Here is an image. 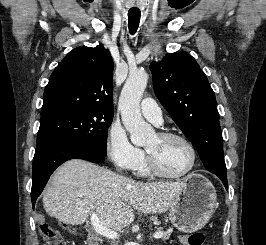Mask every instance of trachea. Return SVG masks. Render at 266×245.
I'll use <instances>...</instances> for the list:
<instances>
[{"instance_id":"obj_1","label":"trachea","mask_w":266,"mask_h":245,"mask_svg":"<svg viewBox=\"0 0 266 245\" xmlns=\"http://www.w3.org/2000/svg\"><path fill=\"white\" fill-rule=\"evenodd\" d=\"M140 13L128 12V27L131 34H134L139 26Z\"/></svg>"}]
</instances>
